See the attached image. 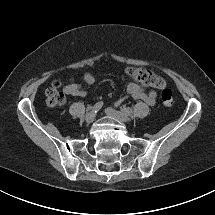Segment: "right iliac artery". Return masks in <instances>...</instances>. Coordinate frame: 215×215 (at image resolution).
<instances>
[{
	"label": "right iliac artery",
	"mask_w": 215,
	"mask_h": 215,
	"mask_svg": "<svg viewBox=\"0 0 215 215\" xmlns=\"http://www.w3.org/2000/svg\"><path fill=\"white\" fill-rule=\"evenodd\" d=\"M103 106V102L102 101H99L97 102L93 107H92V110L97 112L99 111Z\"/></svg>",
	"instance_id": "obj_1"
}]
</instances>
